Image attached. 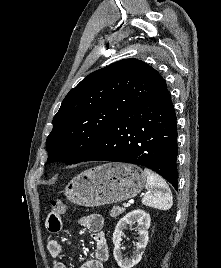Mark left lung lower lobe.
I'll return each instance as SVG.
<instances>
[{"instance_id":"left-lung-lower-lobe-1","label":"left lung lower lobe","mask_w":221,"mask_h":268,"mask_svg":"<svg viewBox=\"0 0 221 268\" xmlns=\"http://www.w3.org/2000/svg\"><path fill=\"white\" fill-rule=\"evenodd\" d=\"M177 125L167 87L119 116L84 161L146 166L177 189Z\"/></svg>"}]
</instances>
